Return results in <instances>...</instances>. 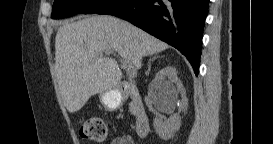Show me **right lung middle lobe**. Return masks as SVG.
<instances>
[{
	"instance_id": "1",
	"label": "right lung middle lobe",
	"mask_w": 273,
	"mask_h": 144,
	"mask_svg": "<svg viewBox=\"0 0 273 144\" xmlns=\"http://www.w3.org/2000/svg\"><path fill=\"white\" fill-rule=\"evenodd\" d=\"M110 0H55L52 8L53 19H60L76 14L96 13Z\"/></svg>"
}]
</instances>
